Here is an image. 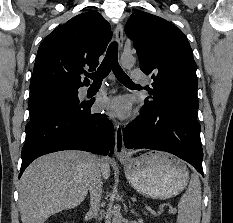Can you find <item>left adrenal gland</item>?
<instances>
[{"instance_id":"left-adrenal-gland-1","label":"left adrenal gland","mask_w":233,"mask_h":223,"mask_svg":"<svg viewBox=\"0 0 233 223\" xmlns=\"http://www.w3.org/2000/svg\"><path fill=\"white\" fill-rule=\"evenodd\" d=\"M131 213H133V215H138L137 211H134V209H131Z\"/></svg>"}]
</instances>
